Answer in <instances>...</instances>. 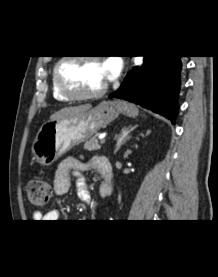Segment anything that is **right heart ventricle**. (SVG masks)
<instances>
[{"label":"right heart ventricle","instance_id":"right-heart-ventricle-1","mask_svg":"<svg viewBox=\"0 0 218 277\" xmlns=\"http://www.w3.org/2000/svg\"><path fill=\"white\" fill-rule=\"evenodd\" d=\"M52 94L53 97L57 100V101H61V102H65V101H69V99H67L66 97H64L57 89L56 86V82H55V78L54 75L52 74Z\"/></svg>","mask_w":218,"mask_h":277}]
</instances>
